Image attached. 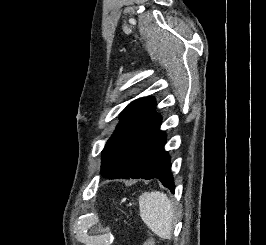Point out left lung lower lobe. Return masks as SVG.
<instances>
[{
    "label": "left lung lower lobe",
    "instance_id": "obj_1",
    "mask_svg": "<svg viewBox=\"0 0 266 245\" xmlns=\"http://www.w3.org/2000/svg\"><path fill=\"white\" fill-rule=\"evenodd\" d=\"M161 122L141 141L135 160L129 170L114 178L159 179L162 184L174 192V181L171 173L170 157L164 150L166 135L159 130Z\"/></svg>",
    "mask_w": 266,
    "mask_h": 245
}]
</instances>
